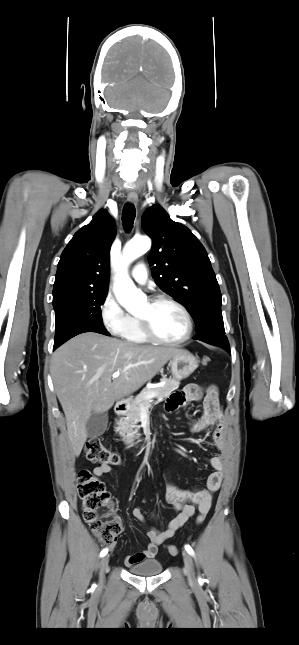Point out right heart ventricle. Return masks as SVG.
<instances>
[{"label": "right heart ventricle", "instance_id": "obj_1", "mask_svg": "<svg viewBox=\"0 0 299 645\" xmlns=\"http://www.w3.org/2000/svg\"><path fill=\"white\" fill-rule=\"evenodd\" d=\"M122 336L126 341L136 344L149 341L142 333L138 319L135 316H130V323Z\"/></svg>", "mask_w": 299, "mask_h": 645}]
</instances>
